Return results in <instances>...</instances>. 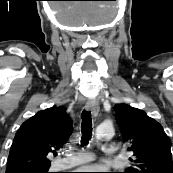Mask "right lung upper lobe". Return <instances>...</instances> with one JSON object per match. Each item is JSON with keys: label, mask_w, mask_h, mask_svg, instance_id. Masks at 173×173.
<instances>
[{"label": "right lung upper lobe", "mask_w": 173, "mask_h": 173, "mask_svg": "<svg viewBox=\"0 0 173 173\" xmlns=\"http://www.w3.org/2000/svg\"><path fill=\"white\" fill-rule=\"evenodd\" d=\"M72 133V122L64 107L39 111L16 132L6 173H33L50 167L48 155L63 147Z\"/></svg>", "instance_id": "right-lung-upper-lobe-1"}]
</instances>
